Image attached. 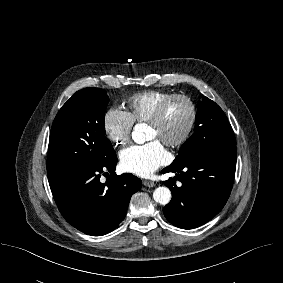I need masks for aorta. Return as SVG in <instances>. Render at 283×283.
Masks as SVG:
<instances>
[{"label":"aorta","mask_w":283,"mask_h":283,"mask_svg":"<svg viewBox=\"0 0 283 283\" xmlns=\"http://www.w3.org/2000/svg\"><path fill=\"white\" fill-rule=\"evenodd\" d=\"M132 139L136 143H143L145 141V136L142 132V125L138 124L134 127ZM153 198L157 203L166 205L171 200V191L167 187H158L153 192Z\"/></svg>","instance_id":"1"}]
</instances>
